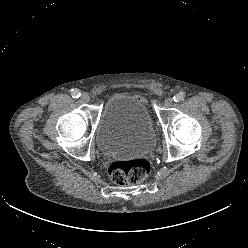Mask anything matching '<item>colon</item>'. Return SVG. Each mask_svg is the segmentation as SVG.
<instances>
[{
	"label": "colon",
	"instance_id": "obj_1",
	"mask_svg": "<svg viewBox=\"0 0 248 248\" xmlns=\"http://www.w3.org/2000/svg\"><path fill=\"white\" fill-rule=\"evenodd\" d=\"M150 170L151 166L147 159L137 158L113 162L109 167V175L116 184L129 185L143 181Z\"/></svg>",
	"mask_w": 248,
	"mask_h": 248
}]
</instances>
